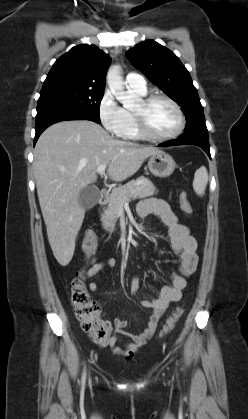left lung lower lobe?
I'll return each instance as SVG.
<instances>
[{"label":"left lung lower lobe","instance_id":"left-lung-lower-lobe-1","mask_svg":"<svg viewBox=\"0 0 248 419\" xmlns=\"http://www.w3.org/2000/svg\"><path fill=\"white\" fill-rule=\"evenodd\" d=\"M186 144H192L201 147L211 158L209 150L208 130L206 126L196 127L189 131H185L180 138L167 141L165 143L160 144L159 146L166 147Z\"/></svg>","mask_w":248,"mask_h":419}]
</instances>
